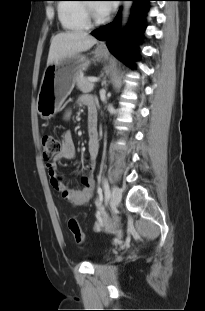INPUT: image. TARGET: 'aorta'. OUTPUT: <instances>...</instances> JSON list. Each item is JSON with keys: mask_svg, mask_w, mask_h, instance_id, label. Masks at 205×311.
<instances>
[{"mask_svg": "<svg viewBox=\"0 0 205 311\" xmlns=\"http://www.w3.org/2000/svg\"><path fill=\"white\" fill-rule=\"evenodd\" d=\"M131 6H132V2L131 1H124L123 2V7H124V10H123V24H125L127 22Z\"/></svg>", "mask_w": 205, "mask_h": 311, "instance_id": "obj_1", "label": "aorta"}]
</instances>
